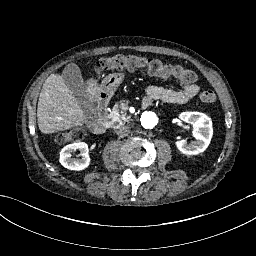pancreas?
I'll use <instances>...</instances> for the list:
<instances>
[{
    "mask_svg": "<svg viewBox=\"0 0 256 256\" xmlns=\"http://www.w3.org/2000/svg\"><path fill=\"white\" fill-rule=\"evenodd\" d=\"M128 110L129 105L126 103V100H123L120 106H115L113 108L112 114H110V122L113 128H116L130 121V117L127 114Z\"/></svg>",
    "mask_w": 256,
    "mask_h": 256,
    "instance_id": "pancreas-1",
    "label": "pancreas"
}]
</instances>
